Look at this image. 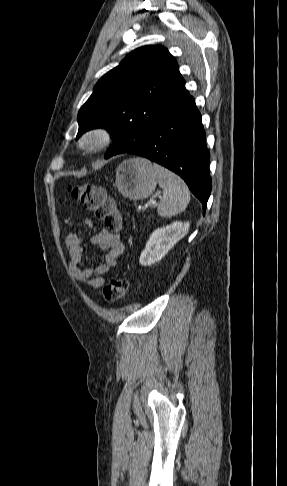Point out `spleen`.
I'll list each match as a JSON object with an SVG mask.
<instances>
[{
  "label": "spleen",
  "instance_id": "1",
  "mask_svg": "<svg viewBox=\"0 0 287 486\" xmlns=\"http://www.w3.org/2000/svg\"><path fill=\"white\" fill-rule=\"evenodd\" d=\"M158 174L159 187L162 188V197L157 207L161 217H173L183 212L190 201V192L186 183L170 170L154 164Z\"/></svg>",
  "mask_w": 287,
  "mask_h": 486
}]
</instances>
